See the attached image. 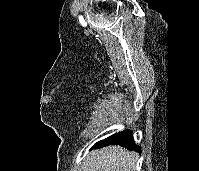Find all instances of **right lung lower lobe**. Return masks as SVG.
Wrapping results in <instances>:
<instances>
[{
  "instance_id": "right-lung-lower-lobe-1",
  "label": "right lung lower lobe",
  "mask_w": 199,
  "mask_h": 171,
  "mask_svg": "<svg viewBox=\"0 0 199 171\" xmlns=\"http://www.w3.org/2000/svg\"><path fill=\"white\" fill-rule=\"evenodd\" d=\"M108 145H120L127 147L129 150H134L141 153V148L135 145L131 130H124L116 133L104 140L97 142L93 148H101Z\"/></svg>"
}]
</instances>
